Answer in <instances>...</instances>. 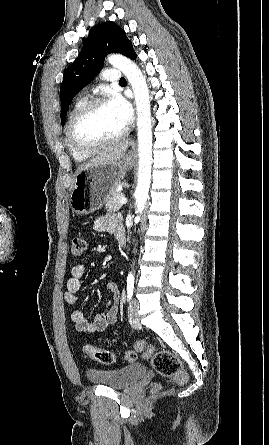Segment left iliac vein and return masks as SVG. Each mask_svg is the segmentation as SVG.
<instances>
[{
    "mask_svg": "<svg viewBox=\"0 0 269 445\" xmlns=\"http://www.w3.org/2000/svg\"><path fill=\"white\" fill-rule=\"evenodd\" d=\"M138 310H139V302L137 301V299L133 298L130 302L128 309V318L129 322L132 325H139L140 323Z\"/></svg>",
    "mask_w": 269,
    "mask_h": 445,
    "instance_id": "4c4485c4",
    "label": "left iliac vein"
}]
</instances>
